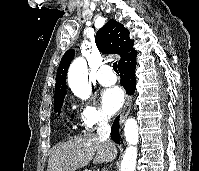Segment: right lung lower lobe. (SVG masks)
Here are the masks:
<instances>
[{"label":"right lung lower lobe","mask_w":199,"mask_h":171,"mask_svg":"<svg viewBox=\"0 0 199 171\" xmlns=\"http://www.w3.org/2000/svg\"><path fill=\"white\" fill-rule=\"evenodd\" d=\"M135 67H136V58L130 61H127L120 66L119 72L121 74V85L125 88L127 94H133L136 85V78H135ZM119 116L115 119L112 129H111V138L116 143L120 144V137H119Z\"/></svg>","instance_id":"1"}]
</instances>
